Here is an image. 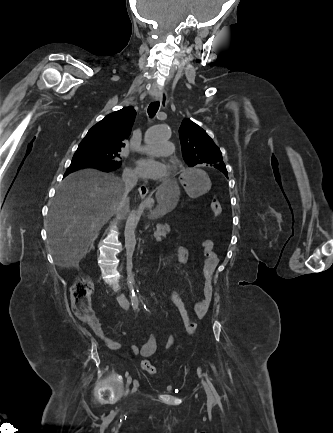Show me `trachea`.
<instances>
[{"label": "trachea", "instance_id": "trachea-1", "mask_svg": "<svg viewBox=\"0 0 333 433\" xmlns=\"http://www.w3.org/2000/svg\"><path fill=\"white\" fill-rule=\"evenodd\" d=\"M159 102H152L149 106H148V115L149 117H154L155 114L157 113L158 109H159Z\"/></svg>", "mask_w": 333, "mask_h": 433}]
</instances>
